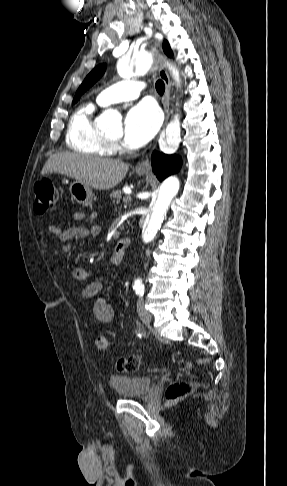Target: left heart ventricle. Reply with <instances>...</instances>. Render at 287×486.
I'll use <instances>...</instances> for the list:
<instances>
[{
  "mask_svg": "<svg viewBox=\"0 0 287 486\" xmlns=\"http://www.w3.org/2000/svg\"><path fill=\"white\" fill-rule=\"evenodd\" d=\"M113 137H114V138H117V137H118V135H115V136H113Z\"/></svg>",
  "mask_w": 287,
  "mask_h": 486,
  "instance_id": "left-heart-ventricle-1",
  "label": "left heart ventricle"
}]
</instances>
